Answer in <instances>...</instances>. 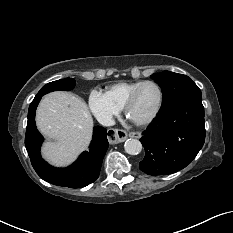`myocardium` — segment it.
Segmentation results:
<instances>
[{
    "instance_id": "myocardium-1",
    "label": "myocardium",
    "mask_w": 233,
    "mask_h": 233,
    "mask_svg": "<svg viewBox=\"0 0 233 233\" xmlns=\"http://www.w3.org/2000/svg\"><path fill=\"white\" fill-rule=\"evenodd\" d=\"M145 85H154L157 90H158V102H157V105L156 107L154 108V110L145 118H142V119H134V118H131L130 116V111H131V108L133 107L134 103L136 102V99L138 97V94L140 92V90L145 86ZM162 104H163V91H162V88L160 87V85L155 82V81H151V80H147V81H143L141 84H139L132 92L131 94L129 95V97L127 98L126 102H125V105H124V112L126 114V116L132 121L134 122L136 125H140V126H143V125H147L149 124L150 122H152L156 116L158 115V113L160 112L161 110V107H162Z\"/></svg>"
}]
</instances>
